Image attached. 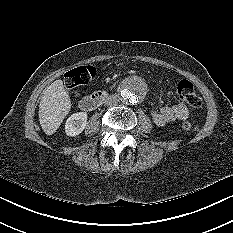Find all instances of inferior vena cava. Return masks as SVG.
<instances>
[{
	"label": "inferior vena cava",
	"mask_w": 233,
	"mask_h": 233,
	"mask_svg": "<svg viewBox=\"0 0 233 233\" xmlns=\"http://www.w3.org/2000/svg\"><path fill=\"white\" fill-rule=\"evenodd\" d=\"M118 102H119V97L116 94L109 95L104 101L105 105L107 106L116 105L118 104Z\"/></svg>",
	"instance_id": "1"
}]
</instances>
